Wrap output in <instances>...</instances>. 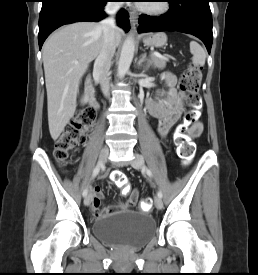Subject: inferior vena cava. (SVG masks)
<instances>
[{
	"mask_svg": "<svg viewBox=\"0 0 258 275\" xmlns=\"http://www.w3.org/2000/svg\"><path fill=\"white\" fill-rule=\"evenodd\" d=\"M121 8L118 2H108L104 11L109 15L106 19L99 23V27L103 30V43L98 57L94 62L93 75L99 79L102 92L105 96L109 95L110 89V67L111 60L114 56L116 42V20L115 15Z\"/></svg>",
	"mask_w": 258,
	"mask_h": 275,
	"instance_id": "1",
	"label": "inferior vena cava"
}]
</instances>
